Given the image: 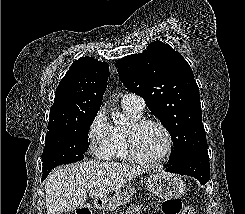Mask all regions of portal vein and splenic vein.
I'll return each mask as SVG.
<instances>
[{"label":"portal vein and splenic vein","instance_id":"portal-vein-and-splenic-vein-1","mask_svg":"<svg viewBox=\"0 0 245 214\" xmlns=\"http://www.w3.org/2000/svg\"><path fill=\"white\" fill-rule=\"evenodd\" d=\"M87 187H88L89 189H91V188L94 187V184H87Z\"/></svg>","mask_w":245,"mask_h":214}]
</instances>
